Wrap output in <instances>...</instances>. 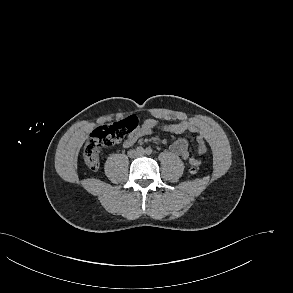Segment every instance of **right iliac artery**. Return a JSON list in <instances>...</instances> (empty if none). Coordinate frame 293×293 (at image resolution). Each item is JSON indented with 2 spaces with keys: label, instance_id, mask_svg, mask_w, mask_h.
Here are the masks:
<instances>
[{
  "label": "right iliac artery",
  "instance_id": "right-iliac-artery-1",
  "mask_svg": "<svg viewBox=\"0 0 293 293\" xmlns=\"http://www.w3.org/2000/svg\"><path fill=\"white\" fill-rule=\"evenodd\" d=\"M136 150H137V152H142V151H144V148L142 146H138L136 148Z\"/></svg>",
  "mask_w": 293,
  "mask_h": 293
}]
</instances>
